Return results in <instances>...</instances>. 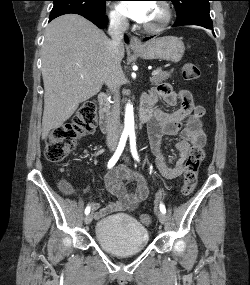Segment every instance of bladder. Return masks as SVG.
<instances>
[{
	"label": "bladder",
	"instance_id": "31cf9c89",
	"mask_svg": "<svg viewBox=\"0 0 250 285\" xmlns=\"http://www.w3.org/2000/svg\"><path fill=\"white\" fill-rule=\"evenodd\" d=\"M95 238L99 246L117 256L132 255L144 250L149 241V233L134 218L116 215L100 220L95 228Z\"/></svg>",
	"mask_w": 250,
	"mask_h": 285
}]
</instances>
